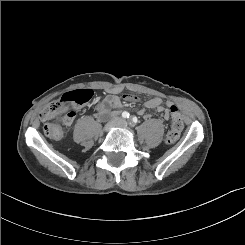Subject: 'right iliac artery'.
<instances>
[{
	"mask_svg": "<svg viewBox=\"0 0 245 245\" xmlns=\"http://www.w3.org/2000/svg\"><path fill=\"white\" fill-rule=\"evenodd\" d=\"M122 117H123L124 119L129 118V113H128L127 111H124V112L122 113Z\"/></svg>",
	"mask_w": 245,
	"mask_h": 245,
	"instance_id": "82829eb1",
	"label": "right iliac artery"
}]
</instances>
